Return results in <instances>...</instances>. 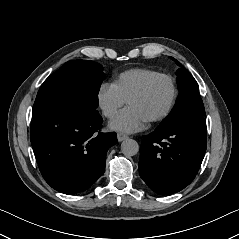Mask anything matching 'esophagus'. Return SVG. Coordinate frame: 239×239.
Returning <instances> with one entry per match:
<instances>
[{"label": "esophagus", "instance_id": "obj_1", "mask_svg": "<svg viewBox=\"0 0 239 239\" xmlns=\"http://www.w3.org/2000/svg\"><path fill=\"white\" fill-rule=\"evenodd\" d=\"M127 138H128V136L126 134H123V133H118L117 134V139H118L119 142H121V141H123Z\"/></svg>", "mask_w": 239, "mask_h": 239}]
</instances>
